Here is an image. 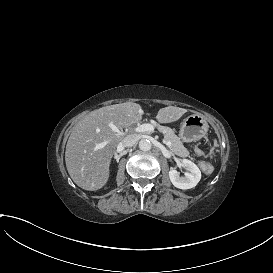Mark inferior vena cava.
Segmentation results:
<instances>
[{
	"label": "inferior vena cava",
	"mask_w": 273,
	"mask_h": 273,
	"mask_svg": "<svg viewBox=\"0 0 273 273\" xmlns=\"http://www.w3.org/2000/svg\"><path fill=\"white\" fill-rule=\"evenodd\" d=\"M139 138L137 135H128L122 140L123 147H132L138 142Z\"/></svg>",
	"instance_id": "inferior-vena-cava-1"
}]
</instances>
